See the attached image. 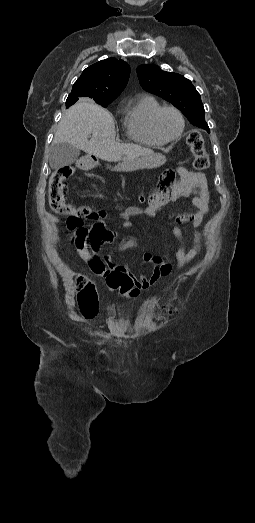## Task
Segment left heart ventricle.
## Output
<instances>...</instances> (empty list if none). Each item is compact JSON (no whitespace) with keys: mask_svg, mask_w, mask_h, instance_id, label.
Wrapping results in <instances>:
<instances>
[{"mask_svg":"<svg viewBox=\"0 0 255 523\" xmlns=\"http://www.w3.org/2000/svg\"><path fill=\"white\" fill-rule=\"evenodd\" d=\"M180 125L179 117L172 110L162 112L157 120V129L166 139L175 137L179 133Z\"/></svg>","mask_w":255,"mask_h":523,"instance_id":"1","label":"left heart ventricle"}]
</instances>
